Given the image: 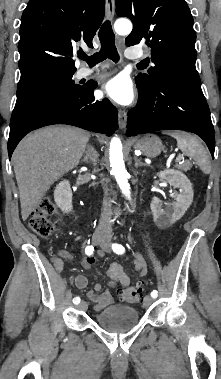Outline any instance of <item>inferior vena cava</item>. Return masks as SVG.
I'll return each mask as SVG.
<instances>
[{"instance_id": "obj_1", "label": "inferior vena cava", "mask_w": 221, "mask_h": 379, "mask_svg": "<svg viewBox=\"0 0 221 379\" xmlns=\"http://www.w3.org/2000/svg\"><path fill=\"white\" fill-rule=\"evenodd\" d=\"M89 157L93 161L94 164H96L97 159H98V153L92 148V150L89 152ZM110 202L104 198L103 201V206H104V211L101 215V219L98 225V230H111V223H110V218H109V213H108V208L110 207Z\"/></svg>"}]
</instances>
